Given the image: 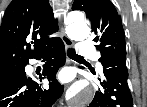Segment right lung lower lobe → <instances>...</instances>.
Returning <instances> with one entry per match:
<instances>
[{
    "label": "right lung lower lobe",
    "mask_w": 147,
    "mask_h": 107,
    "mask_svg": "<svg viewBox=\"0 0 147 107\" xmlns=\"http://www.w3.org/2000/svg\"><path fill=\"white\" fill-rule=\"evenodd\" d=\"M41 57L46 65L38 80L27 77L24 71L0 82V107H51L62 95L64 88L56 80V73L66 60L62 40L53 41L35 59ZM44 78L49 89L41 88L40 81Z\"/></svg>",
    "instance_id": "right-lung-lower-lobe-1"
}]
</instances>
